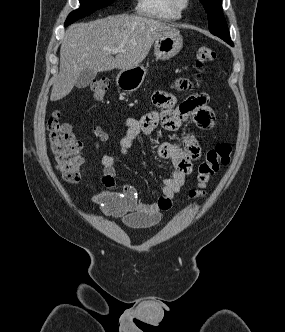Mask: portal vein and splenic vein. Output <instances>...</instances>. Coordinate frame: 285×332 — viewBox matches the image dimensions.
<instances>
[{
  "label": "portal vein and splenic vein",
  "instance_id": "portal-vein-and-splenic-vein-1",
  "mask_svg": "<svg viewBox=\"0 0 285 332\" xmlns=\"http://www.w3.org/2000/svg\"><path fill=\"white\" fill-rule=\"evenodd\" d=\"M105 50L108 51V52H111V53H113V54H117V53L123 51V49H122L121 47H118V48H112V49H110V48H105Z\"/></svg>",
  "mask_w": 285,
  "mask_h": 332
}]
</instances>
